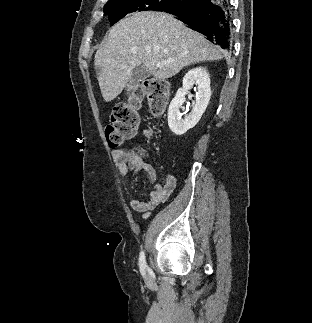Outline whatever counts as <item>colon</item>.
<instances>
[{
	"instance_id": "colon-1",
	"label": "colon",
	"mask_w": 312,
	"mask_h": 323,
	"mask_svg": "<svg viewBox=\"0 0 312 323\" xmlns=\"http://www.w3.org/2000/svg\"><path fill=\"white\" fill-rule=\"evenodd\" d=\"M146 94L150 95L151 112L159 115L168 98L166 82L159 78L146 79L130 92L126 100L112 108L105 128L106 142L111 148H119L135 136L139 126L138 108ZM137 154L142 156L143 150H137Z\"/></svg>"
}]
</instances>
